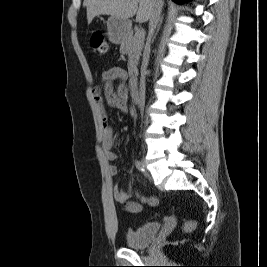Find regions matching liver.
I'll use <instances>...</instances> for the list:
<instances>
[{"mask_svg":"<svg viewBox=\"0 0 267 267\" xmlns=\"http://www.w3.org/2000/svg\"><path fill=\"white\" fill-rule=\"evenodd\" d=\"M162 0H84L87 8L88 24L98 15H111L128 19L136 14V21L144 23L150 20L157 2Z\"/></svg>","mask_w":267,"mask_h":267,"instance_id":"liver-1","label":"liver"}]
</instances>
